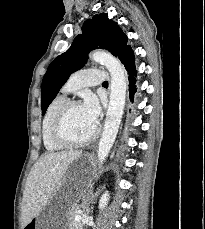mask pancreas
I'll return each instance as SVG.
<instances>
[{
    "mask_svg": "<svg viewBox=\"0 0 205 229\" xmlns=\"http://www.w3.org/2000/svg\"><path fill=\"white\" fill-rule=\"evenodd\" d=\"M75 206L73 208H70V212L68 215V222H69V229H82V224L75 220V216H77L79 213L75 212Z\"/></svg>",
    "mask_w": 205,
    "mask_h": 229,
    "instance_id": "obj_1",
    "label": "pancreas"
}]
</instances>
